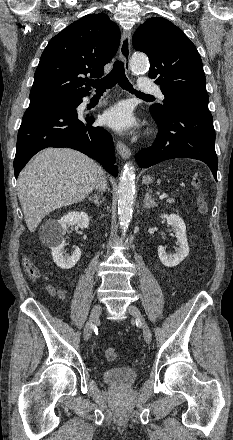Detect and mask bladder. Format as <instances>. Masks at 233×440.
Returning <instances> with one entry per match:
<instances>
[{"instance_id": "31cf9c89", "label": "bladder", "mask_w": 233, "mask_h": 440, "mask_svg": "<svg viewBox=\"0 0 233 440\" xmlns=\"http://www.w3.org/2000/svg\"><path fill=\"white\" fill-rule=\"evenodd\" d=\"M102 378L111 386L125 388L136 381L137 372L130 367L111 368L103 371Z\"/></svg>"}]
</instances>
